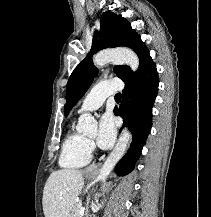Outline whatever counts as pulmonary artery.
Segmentation results:
<instances>
[{"label":"pulmonary artery","mask_w":211,"mask_h":217,"mask_svg":"<svg viewBox=\"0 0 211 217\" xmlns=\"http://www.w3.org/2000/svg\"><path fill=\"white\" fill-rule=\"evenodd\" d=\"M123 87L122 81L117 78L95 84L82 101L78 113L94 111L100 108L108 96L121 91Z\"/></svg>","instance_id":"1"}]
</instances>
